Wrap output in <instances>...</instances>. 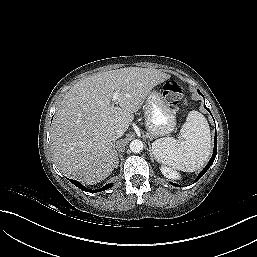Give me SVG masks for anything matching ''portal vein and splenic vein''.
I'll return each instance as SVG.
<instances>
[{
	"label": "portal vein and splenic vein",
	"mask_w": 257,
	"mask_h": 257,
	"mask_svg": "<svg viewBox=\"0 0 257 257\" xmlns=\"http://www.w3.org/2000/svg\"><path fill=\"white\" fill-rule=\"evenodd\" d=\"M119 97V94L117 92H114L113 94V100L116 101Z\"/></svg>",
	"instance_id": "obj_1"
}]
</instances>
